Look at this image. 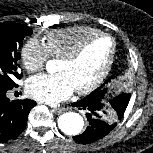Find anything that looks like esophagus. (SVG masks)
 Segmentation results:
<instances>
[{
  "label": "esophagus",
  "instance_id": "obj_1",
  "mask_svg": "<svg viewBox=\"0 0 153 153\" xmlns=\"http://www.w3.org/2000/svg\"><path fill=\"white\" fill-rule=\"evenodd\" d=\"M65 111L64 108H52V112L56 114H61Z\"/></svg>",
  "mask_w": 153,
  "mask_h": 153
}]
</instances>
